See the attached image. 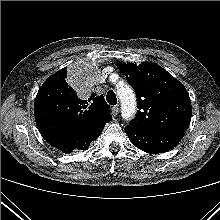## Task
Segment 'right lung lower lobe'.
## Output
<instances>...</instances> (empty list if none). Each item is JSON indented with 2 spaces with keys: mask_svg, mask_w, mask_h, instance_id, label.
<instances>
[{
  "mask_svg": "<svg viewBox=\"0 0 220 220\" xmlns=\"http://www.w3.org/2000/svg\"><path fill=\"white\" fill-rule=\"evenodd\" d=\"M107 122L109 121L106 120L99 121L84 132L78 133L76 135L55 142H48V143L51 146H54L57 149L61 150L63 153H71L73 150L76 149L79 150L85 149L92 141L98 138V136L102 132Z\"/></svg>",
  "mask_w": 220,
  "mask_h": 220,
  "instance_id": "1",
  "label": "right lung lower lobe"
}]
</instances>
